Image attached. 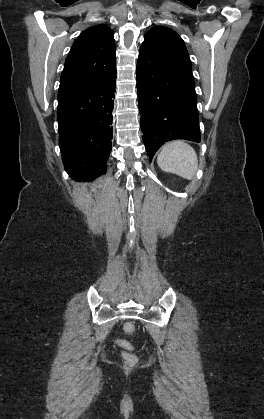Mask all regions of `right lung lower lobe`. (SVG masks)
Segmentation results:
<instances>
[{
  "label": "right lung lower lobe",
  "mask_w": 264,
  "mask_h": 419,
  "mask_svg": "<svg viewBox=\"0 0 264 419\" xmlns=\"http://www.w3.org/2000/svg\"><path fill=\"white\" fill-rule=\"evenodd\" d=\"M116 72L84 87L59 91V146L65 170L76 181L106 173L111 152Z\"/></svg>",
  "instance_id": "obj_1"
}]
</instances>
